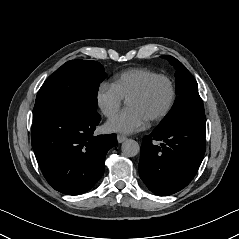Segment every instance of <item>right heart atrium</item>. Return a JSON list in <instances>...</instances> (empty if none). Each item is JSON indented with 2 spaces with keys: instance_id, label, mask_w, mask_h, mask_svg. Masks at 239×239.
<instances>
[{
  "instance_id": "1",
  "label": "right heart atrium",
  "mask_w": 239,
  "mask_h": 239,
  "mask_svg": "<svg viewBox=\"0 0 239 239\" xmlns=\"http://www.w3.org/2000/svg\"><path fill=\"white\" fill-rule=\"evenodd\" d=\"M96 101L102 113L111 117L121 107L123 98L113 84L102 83L98 88Z\"/></svg>"
}]
</instances>
